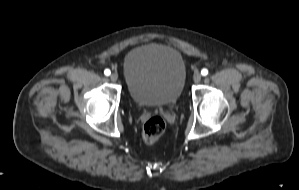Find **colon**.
<instances>
[{
    "instance_id": "1",
    "label": "colon",
    "mask_w": 299,
    "mask_h": 190,
    "mask_svg": "<svg viewBox=\"0 0 299 190\" xmlns=\"http://www.w3.org/2000/svg\"><path fill=\"white\" fill-rule=\"evenodd\" d=\"M166 122L161 117H152L143 126L142 136L146 143L156 142L165 132Z\"/></svg>"
}]
</instances>
